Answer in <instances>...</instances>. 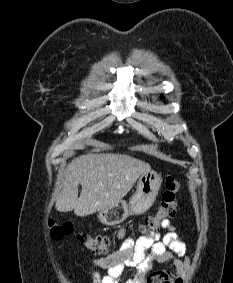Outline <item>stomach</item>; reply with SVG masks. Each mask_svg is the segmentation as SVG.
<instances>
[{"label": "stomach", "instance_id": "0dacf381", "mask_svg": "<svg viewBox=\"0 0 233 283\" xmlns=\"http://www.w3.org/2000/svg\"><path fill=\"white\" fill-rule=\"evenodd\" d=\"M162 179L154 170L143 172L137 181L136 192L129 203L121 200L114 206L99 211V220L109 226L122 223L130 215H139L146 212L154 203L161 187Z\"/></svg>", "mask_w": 233, "mask_h": 283}]
</instances>
